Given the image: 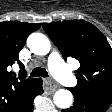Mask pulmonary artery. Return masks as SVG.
Listing matches in <instances>:
<instances>
[{
  "mask_svg": "<svg viewBox=\"0 0 112 112\" xmlns=\"http://www.w3.org/2000/svg\"><path fill=\"white\" fill-rule=\"evenodd\" d=\"M48 66L54 77H56L64 85L72 87L76 84L75 77L62 62L57 51H52L50 53L48 57Z\"/></svg>",
  "mask_w": 112,
  "mask_h": 112,
  "instance_id": "obj_1",
  "label": "pulmonary artery"
}]
</instances>
